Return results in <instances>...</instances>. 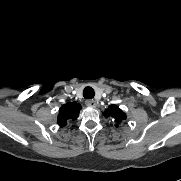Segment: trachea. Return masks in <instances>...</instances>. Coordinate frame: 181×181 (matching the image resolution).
Returning <instances> with one entry per match:
<instances>
[{
  "label": "trachea",
  "instance_id": "3493384b",
  "mask_svg": "<svg viewBox=\"0 0 181 181\" xmlns=\"http://www.w3.org/2000/svg\"><path fill=\"white\" fill-rule=\"evenodd\" d=\"M94 90L93 88L91 87H86L84 90H83V96L84 98L86 99H92L94 98Z\"/></svg>",
  "mask_w": 181,
  "mask_h": 181
}]
</instances>
